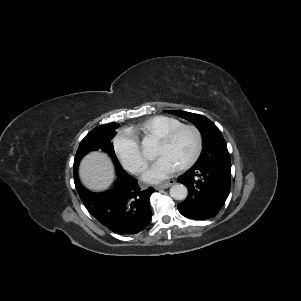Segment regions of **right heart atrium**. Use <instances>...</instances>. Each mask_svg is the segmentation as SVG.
<instances>
[{"label":"right heart atrium","instance_id":"right-heart-atrium-1","mask_svg":"<svg viewBox=\"0 0 301 301\" xmlns=\"http://www.w3.org/2000/svg\"><path fill=\"white\" fill-rule=\"evenodd\" d=\"M114 150L122 165L131 172L138 173L146 166L138 137L129 129L119 131L113 140Z\"/></svg>","mask_w":301,"mask_h":301}]
</instances>
